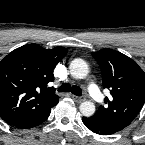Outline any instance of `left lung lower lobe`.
Returning <instances> with one entry per match:
<instances>
[{"mask_svg": "<svg viewBox=\"0 0 145 145\" xmlns=\"http://www.w3.org/2000/svg\"><path fill=\"white\" fill-rule=\"evenodd\" d=\"M82 121L84 125L92 132L100 135H111L116 133L113 129L106 127L99 123L94 117H83Z\"/></svg>", "mask_w": 145, "mask_h": 145, "instance_id": "obj_1", "label": "left lung lower lobe"}]
</instances>
